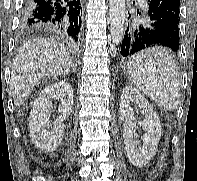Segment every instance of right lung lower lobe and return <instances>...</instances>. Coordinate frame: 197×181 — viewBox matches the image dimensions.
I'll return each instance as SVG.
<instances>
[{"label": "right lung lower lobe", "instance_id": "98d812e1", "mask_svg": "<svg viewBox=\"0 0 197 181\" xmlns=\"http://www.w3.org/2000/svg\"><path fill=\"white\" fill-rule=\"evenodd\" d=\"M83 22V0H24L21 25L44 27L79 42Z\"/></svg>", "mask_w": 197, "mask_h": 181}]
</instances>
